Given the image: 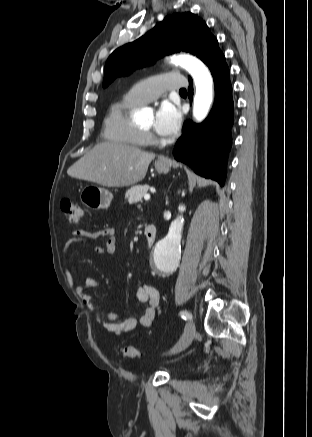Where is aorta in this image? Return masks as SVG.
<instances>
[{"label": "aorta", "instance_id": "762f6f07", "mask_svg": "<svg viewBox=\"0 0 312 437\" xmlns=\"http://www.w3.org/2000/svg\"><path fill=\"white\" fill-rule=\"evenodd\" d=\"M171 63L180 65L193 77L196 86L193 116L197 122H201L207 116L213 100V80L209 70L199 59L189 55L172 56ZM184 209L183 205L179 206V211ZM183 225V216H177L172 221L167 236L159 241L155 247L154 262L160 273L171 272L179 264Z\"/></svg>", "mask_w": 312, "mask_h": 437}]
</instances>
